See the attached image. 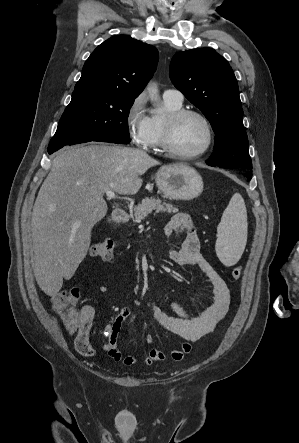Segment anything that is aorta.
Here are the masks:
<instances>
[{
	"label": "aorta",
	"mask_w": 299,
	"mask_h": 443,
	"mask_svg": "<svg viewBox=\"0 0 299 443\" xmlns=\"http://www.w3.org/2000/svg\"><path fill=\"white\" fill-rule=\"evenodd\" d=\"M149 92V97L151 101H156L158 99V89L155 84H151L147 87ZM158 113H161V109H158Z\"/></svg>",
	"instance_id": "obj_1"
}]
</instances>
